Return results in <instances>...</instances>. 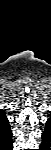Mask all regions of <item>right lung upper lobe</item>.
I'll use <instances>...</instances> for the list:
<instances>
[{
  "label": "right lung upper lobe",
  "mask_w": 51,
  "mask_h": 150,
  "mask_svg": "<svg viewBox=\"0 0 51 150\" xmlns=\"http://www.w3.org/2000/svg\"><path fill=\"white\" fill-rule=\"evenodd\" d=\"M12 143V131L3 110L0 111V149L6 150Z\"/></svg>",
  "instance_id": "1"
}]
</instances>
